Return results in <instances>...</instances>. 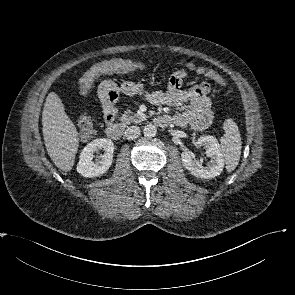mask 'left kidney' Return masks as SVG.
Instances as JSON below:
<instances>
[{
	"label": "left kidney",
	"instance_id": "left-kidney-1",
	"mask_svg": "<svg viewBox=\"0 0 295 295\" xmlns=\"http://www.w3.org/2000/svg\"><path fill=\"white\" fill-rule=\"evenodd\" d=\"M197 144L206 148V156L210 157V162L203 166L201 162L195 159V155L190 152H183L181 159L184 167L196 177L211 179L218 176L224 167V158L217 139L213 136H201Z\"/></svg>",
	"mask_w": 295,
	"mask_h": 295
}]
</instances>
